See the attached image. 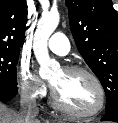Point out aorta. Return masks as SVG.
<instances>
[{"instance_id": "aorta-1", "label": "aorta", "mask_w": 118, "mask_h": 123, "mask_svg": "<svg viewBox=\"0 0 118 123\" xmlns=\"http://www.w3.org/2000/svg\"><path fill=\"white\" fill-rule=\"evenodd\" d=\"M59 13L50 12L44 14L38 22L33 41L34 55L40 64L39 75L43 78L52 73L53 67L57 65L55 60L49 57L48 40L59 24Z\"/></svg>"}]
</instances>
